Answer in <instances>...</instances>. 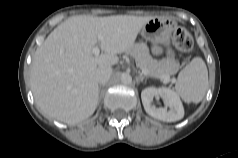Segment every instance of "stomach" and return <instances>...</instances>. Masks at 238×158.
I'll return each mask as SVG.
<instances>
[{
  "label": "stomach",
  "mask_w": 238,
  "mask_h": 158,
  "mask_svg": "<svg viewBox=\"0 0 238 158\" xmlns=\"http://www.w3.org/2000/svg\"><path fill=\"white\" fill-rule=\"evenodd\" d=\"M174 31V22L162 18H152L141 29L142 36L151 42L169 45L172 33ZM168 60H174V52L168 48Z\"/></svg>",
  "instance_id": "obj_1"
}]
</instances>
